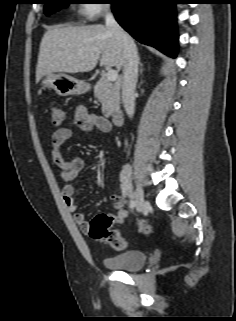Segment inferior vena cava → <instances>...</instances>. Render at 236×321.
<instances>
[{"label":"inferior vena cava","mask_w":236,"mask_h":321,"mask_svg":"<svg viewBox=\"0 0 236 321\" xmlns=\"http://www.w3.org/2000/svg\"><path fill=\"white\" fill-rule=\"evenodd\" d=\"M105 24L123 50L122 101L127 115L132 118L135 110L134 91L138 77L137 48L132 38L117 23L109 8L105 12Z\"/></svg>","instance_id":"obj_1"}]
</instances>
